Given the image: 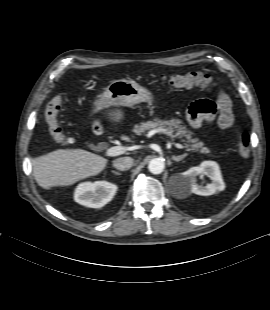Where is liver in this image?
<instances>
[{"label": "liver", "mask_w": 270, "mask_h": 310, "mask_svg": "<svg viewBox=\"0 0 270 310\" xmlns=\"http://www.w3.org/2000/svg\"><path fill=\"white\" fill-rule=\"evenodd\" d=\"M96 109L108 108L110 105ZM111 121L119 122L124 118L121 110H110L107 113ZM108 160L83 149H57L45 155L31 159L33 175L36 182L43 189L52 187L69 186L82 179L101 173Z\"/></svg>", "instance_id": "obj_1"}]
</instances>
